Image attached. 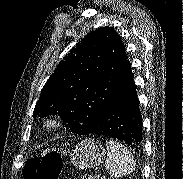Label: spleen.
I'll return each mask as SVG.
<instances>
[{
	"label": "spleen",
	"mask_w": 183,
	"mask_h": 179,
	"mask_svg": "<svg viewBox=\"0 0 183 179\" xmlns=\"http://www.w3.org/2000/svg\"><path fill=\"white\" fill-rule=\"evenodd\" d=\"M107 159L105 168L112 178H120L133 172L135 160L129 150L122 144L108 140L106 141Z\"/></svg>",
	"instance_id": "3e777b00"
}]
</instances>
